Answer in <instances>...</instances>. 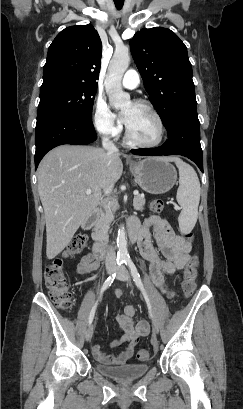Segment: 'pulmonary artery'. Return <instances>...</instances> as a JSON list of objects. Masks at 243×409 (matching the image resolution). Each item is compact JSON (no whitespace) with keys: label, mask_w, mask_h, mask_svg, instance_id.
<instances>
[{"label":"pulmonary artery","mask_w":243,"mask_h":409,"mask_svg":"<svg viewBox=\"0 0 243 409\" xmlns=\"http://www.w3.org/2000/svg\"><path fill=\"white\" fill-rule=\"evenodd\" d=\"M140 82L139 73L135 70H128L122 79V85L127 89H135Z\"/></svg>","instance_id":"obj_1"}]
</instances>
